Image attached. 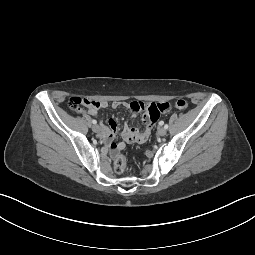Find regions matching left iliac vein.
Masks as SVG:
<instances>
[{
  "label": "left iliac vein",
  "mask_w": 255,
  "mask_h": 255,
  "mask_svg": "<svg viewBox=\"0 0 255 255\" xmlns=\"http://www.w3.org/2000/svg\"><path fill=\"white\" fill-rule=\"evenodd\" d=\"M157 133H158L159 136H165L167 131H166L165 128H159Z\"/></svg>",
  "instance_id": "1"
}]
</instances>
